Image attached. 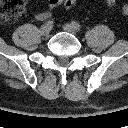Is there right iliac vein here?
<instances>
[{"label": "right iliac vein", "instance_id": "right-iliac-vein-1", "mask_svg": "<svg viewBox=\"0 0 128 128\" xmlns=\"http://www.w3.org/2000/svg\"><path fill=\"white\" fill-rule=\"evenodd\" d=\"M50 31H51V29L48 26H46V25H44V26L41 27V33L44 36H48L49 33H50Z\"/></svg>", "mask_w": 128, "mask_h": 128}]
</instances>
